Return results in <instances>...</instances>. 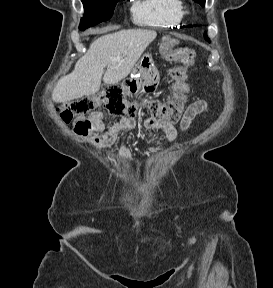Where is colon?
Wrapping results in <instances>:
<instances>
[{
    "label": "colon",
    "instance_id": "obj_1",
    "mask_svg": "<svg viewBox=\"0 0 273 288\" xmlns=\"http://www.w3.org/2000/svg\"><path fill=\"white\" fill-rule=\"evenodd\" d=\"M165 57L170 61L179 62L181 65L171 71L172 77L177 81L171 99L166 102L151 100L146 104V109L153 118L177 122L182 114L187 87L185 80L188 70L195 64L196 53L188 47L168 48ZM102 103L104 108L113 115H134L139 107L137 104L127 101L121 90L116 88L107 89L101 97H82L62 106L58 113L66 122H74V131L82 136L88 135L99 119V114L94 113L95 108Z\"/></svg>",
    "mask_w": 273,
    "mask_h": 288
}]
</instances>
